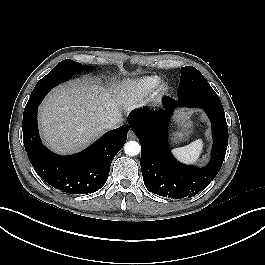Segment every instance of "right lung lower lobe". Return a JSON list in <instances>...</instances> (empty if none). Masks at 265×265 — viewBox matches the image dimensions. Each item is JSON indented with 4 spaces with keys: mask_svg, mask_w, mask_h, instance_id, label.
Returning a JSON list of instances; mask_svg holds the SVG:
<instances>
[{
    "mask_svg": "<svg viewBox=\"0 0 265 265\" xmlns=\"http://www.w3.org/2000/svg\"><path fill=\"white\" fill-rule=\"evenodd\" d=\"M45 97V96H44ZM23 114V142L37 174L52 187L68 194L92 193L106 182L115 155L127 139L129 125L104 134L87 149L71 156H59L42 145L37 127V107Z\"/></svg>",
    "mask_w": 265,
    "mask_h": 265,
    "instance_id": "98d812e1",
    "label": "right lung lower lobe"
}]
</instances>
